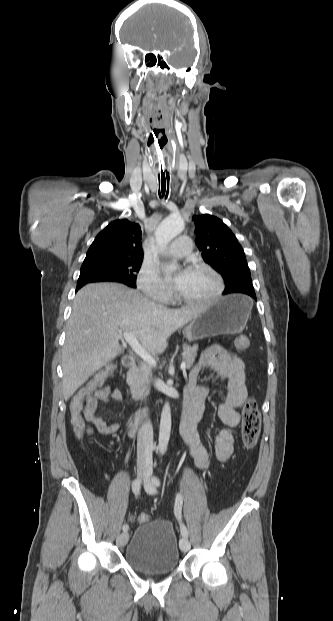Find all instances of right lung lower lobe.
I'll return each mask as SVG.
<instances>
[{"instance_id": "obj_1", "label": "right lung lower lobe", "mask_w": 333, "mask_h": 621, "mask_svg": "<svg viewBox=\"0 0 333 621\" xmlns=\"http://www.w3.org/2000/svg\"><path fill=\"white\" fill-rule=\"evenodd\" d=\"M82 286H83V284H77L76 291H78Z\"/></svg>"}]
</instances>
